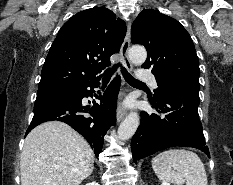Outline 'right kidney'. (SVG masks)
<instances>
[{"mask_svg":"<svg viewBox=\"0 0 233 185\" xmlns=\"http://www.w3.org/2000/svg\"><path fill=\"white\" fill-rule=\"evenodd\" d=\"M85 185H99L97 182H90V183H87Z\"/></svg>","mask_w":233,"mask_h":185,"instance_id":"obj_1","label":"right kidney"}]
</instances>
